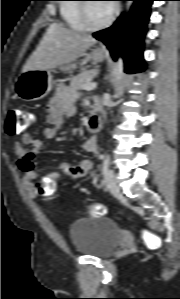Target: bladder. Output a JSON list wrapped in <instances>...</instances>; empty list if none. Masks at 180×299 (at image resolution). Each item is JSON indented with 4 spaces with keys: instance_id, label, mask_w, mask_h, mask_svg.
Instances as JSON below:
<instances>
[{
    "instance_id": "obj_1",
    "label": "bladder",
    "mask_w": 180,
    "mask_h": 299,
    "mask_svg": "<svg viewBox=\"0 0 180 299\" xmlns=\"http://www.w3.org/2000/svg\"><path fill=\"white\" fill-rule=\"evenodd\" d=\"M74 249L93 257H106L120 244V228L112 219L81 217L72 222L68 229Z\"/></svg>"
}]
</instances>
